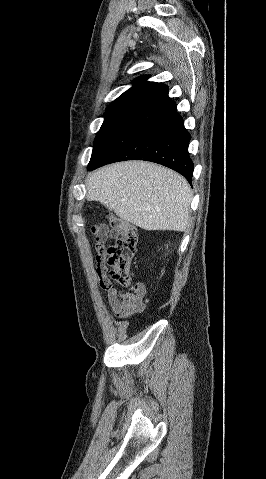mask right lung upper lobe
I'll return each mask as SVG.
<instances>
[{
  "instance_id": "1",
  "label": "right lung upper lobe",
  "mask_w": 266,
  "mask_h": 479,
  "mask_svg": "<svg viewBox=\"0 0 266 479\" xmlns=\"http://www.w3.org/2000/svg\"><path fill=\"white\" fill-rule=\"evenodd\" d=\"M148 75L138 77L134 85L106 108L105 114L116 112H140L147 106L168 94L163 83L148 82Z\"/></svg>"
}]
</instances>
